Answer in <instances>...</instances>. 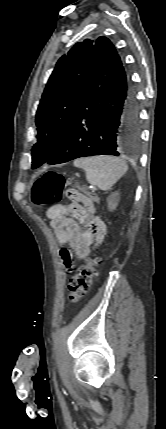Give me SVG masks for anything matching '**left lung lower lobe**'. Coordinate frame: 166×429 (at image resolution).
<instances>
[{
    "mask_svg": "<svg viewBox=\"0 0 166 429\" xmlns=\"http://www.w3.org/2000/svg\"><path fill=\"white\" fill-rule=\"evenodd\" d=\"M139 136L136 90L113 44L99 37L89 77L59 144L45 163L132 153Z\"/></svg>",
    "mask_w": 166,
    "mask_h": 429,
    "instance_id": "obj_1",
    "label": "left lung lower lobe"
}]
</instances>
